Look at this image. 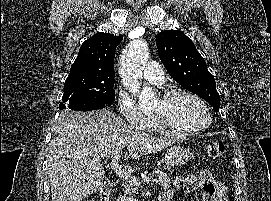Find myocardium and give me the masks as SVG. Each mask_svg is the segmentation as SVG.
Wrapping results in <instances>:
<instances>
[{"label":"myocardium","mask_w":271,"mask_h":201,"mask_svg":"<svg viewBox=\"0 0 271 201\" xmlns=\"http://www.w3.org/2000/svg\"><path fill=\"white\" fill-rule=\"evenodd\" d=\"M176 97H188V98H191V99L197 101L204 108V110L206 111L208 120H207L205 125L197 128V129H194V130H179V129L173 127L167 121H165L158 114H154L155 121H156L158 127L165 134L172 135V136H177V137H188V136H192V135L202 133L212 125V123H213V114L211 112V109H210L209 105L206 103V101L203 98H201L197 94L192 93L190 91H186V90H182V89H173V90H169V91L165 92L161 99L162 100H171V99H174Z\"/></svg>","instance_id":"1"}]
</instances>
